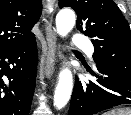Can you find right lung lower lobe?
I'll return each instance as SVG.
<instances>
[{
  "mask_svg": "<svg viewBox=\"0 0 131 115\" xmlns=\"http://www.w3.org/2000/svg\"><path fill=\"white\" fill-rule=\"evenodd\" d=\"M37 62L35 38L0 52V115H29Z\"/></svg>",
  "mask_w": 131,
  "mask_h": 115,
  "instance_id": "1",
  "label": "right lung lower lobe"
}]
</instances>
